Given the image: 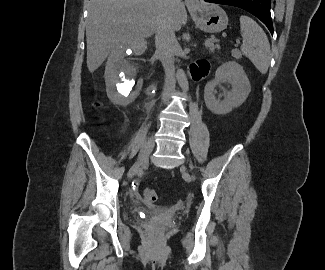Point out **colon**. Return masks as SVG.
<instances>
[{
	"label": "colon",
	"instance_id": "obj_1",
	"mask_svg": "<svg viewBox=\"0 0 325 270\" xmlns=\"http://www.w3.org/2000/svg\"><path fill=\"white\" fill-rule=\"evenodd\" d=\"M144 200L147 203H153L157 200V194L153 189H146L144 191Z\"/></svg>",
	"mask_w": 325,
	"mask_h": 270
}]
</instances>
